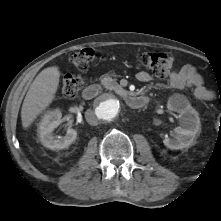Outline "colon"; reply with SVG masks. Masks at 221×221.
Instances as JSON below:
<instances>
[{"label":"colon","instance_id":"colon-1","mask_svg":"<svg viewBox=\"0 0 221 221\" xmlns=\"http://www.w3.org/2000/svg\"><path fill=\"white\" fill-rule=\"evenodd\" d=\"M94 50L84 48L71 56L72 65L79 71H86L94 59ZM138 61L148 72L157 78L166 77L174 68V58L168 53L143 52ZM85 84V79L80 75L68 74L61 82L62 93L65 97H75ZM221 104V97H220Z\"/></svg>","mask_w":221,"mask_h":221}]
</instances>
